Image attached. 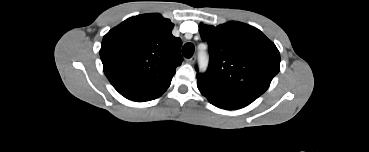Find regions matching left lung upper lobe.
<instances>
[{
    "label": "left lung upper lobe",
    "instance_id": "5c2ea615",
    "mask_svg": "<svg viewBox=\"0 0 369 152\" xmlns=\"http://www.w3.org/2000/svg\"><path fill=\"white\" fill-rule=\"evenodd\" d=\"M210 62L197 81L213 88L258 98L280 70V54L257 28L231 21L217 27L200 25ZM196 70H198L196 68Z\"/></svg>",
    "mask_w": 369,
    "mask_h": 152
}]
</instances>
